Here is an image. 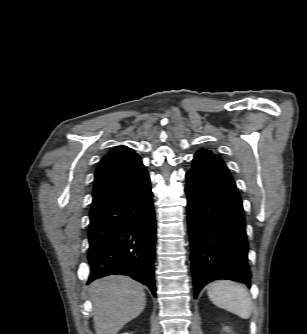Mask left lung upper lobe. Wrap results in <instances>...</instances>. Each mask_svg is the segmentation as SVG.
<instances>
[{
	"label": "left lung upper lobe",
	"instance_id": "obj_1",
	"mask_svg": "<svg viewBox=\"0 0 307 334\" xmlns=\"http://www.w3.org/2000/svg\"><path fill=\"white\" fill-rule=\"evenodd\" d=\"M194 160H205L211 163L224 165L223 160L220 158L219 155H214L210 150H199L195 156Z\"/></svg>",
	"mask_w": 307,
	"mask_h": 334
}]
</instances>
